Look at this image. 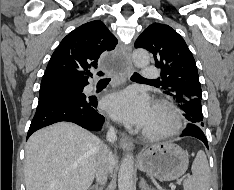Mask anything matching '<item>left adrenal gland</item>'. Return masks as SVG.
Returning <instances> with one entry per match:
<instances>
[{
	"label": "left adrenal gland",
	"mask_w": 234,
	"mask_h": 190,
	"mask_svg": "<svg viewBox=\"0 0 234 190\" xmlns=\"http://www.w3.org/2000/svg\"><path fill=\"white\" fill-rule=\"evenodd\" d=\"M139 187L141 190H155L154 188L149 187V185L146 184V182L143 178H141V180H140Z\"/></svg>",
	"instance_id": "1"
}]
</instances>
